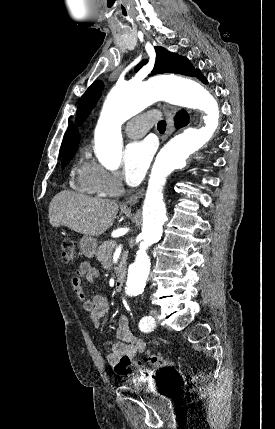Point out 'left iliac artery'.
<instances>
[{
    "label": "left iliac artery",
    "instance_id": "1",
    "mask_svg": "<svg viewBox=\"0 0 275 429\" xmlns=\"http://www.w3.org/2000/svg\"><path fill=\"white\" fill-rule=\"evenodd\" d=\"M155 325L154 320L151 316H145L140 320L139 327L141 331L148 332L153 329Z\"/></svg>",
    "mask_w": 275,
    "mask_h": 429
}]
</instances>
